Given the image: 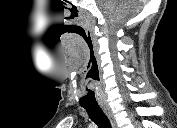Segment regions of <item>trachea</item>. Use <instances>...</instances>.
Returning a JSON list of instances; mask_svg holds the SVG:
<instances>
[{
    "instance_id": "trachea-1",
    "label": "trachea",
    "mask_w": 177,
    "mask_h": 128,
    "mask_svg": "<svg viewBox=\"0 0 177 128\" xmlns=\"http://www.w3.org/2000/svg\"><path fill=\"white\" fill-rule=\"evenodd\" d=\"M86 109L90 119L99 128H112L108 117L104 114L99 106H83Z\"/></svg>"
}]
</instances>
